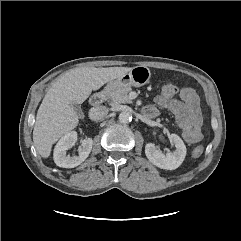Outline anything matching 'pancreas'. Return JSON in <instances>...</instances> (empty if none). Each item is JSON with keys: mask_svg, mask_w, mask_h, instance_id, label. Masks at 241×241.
I'll list each match as a JSON object with an SVG mask.
<instances>
[{"mask_svg": "<svg viewBox=\"0 0 241 241\" xmlns=\"http://www.w3.org/2000/svg\"><path fill=\"white\" fill-rule=\"evenodd\" d=\"M132 90L130 86L120 87L107 94V99L110 105H117L121 103H132L129 98V92Z\"/></svg>", "mask_w": 241, "mask_h": 241, "instance_id": "pancreas-1", "label": "pancreas"}]
</instances>
